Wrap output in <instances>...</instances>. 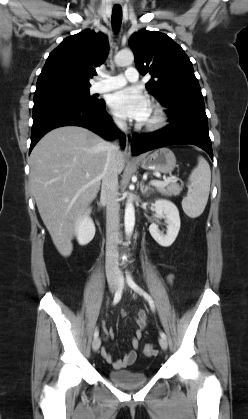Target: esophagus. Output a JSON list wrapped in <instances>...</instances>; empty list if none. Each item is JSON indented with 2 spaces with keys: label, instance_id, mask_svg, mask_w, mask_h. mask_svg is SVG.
I'll list each match as a JSON object with an SVG mask.
<instances>
[{
  "label": "esophagus",
  "instance_id": "1",
  "mask_svg": "<svg viewBox=\"0 0 248 419\" xmlns=\"http://www.w3.org/2000/svg\"><path fill=\"white\" fill-rule=\"evenodd\" d=\"M131 143H132V134L130 132H126L125 154L127 156H131Z\"/></svg>",
  "mask_w": 248,
  "mask_h": 419
}]
</instances>
